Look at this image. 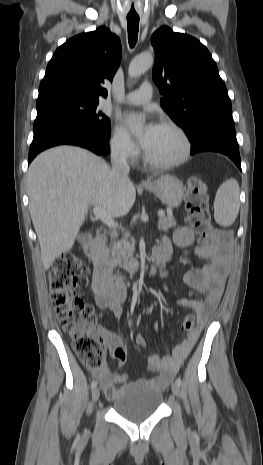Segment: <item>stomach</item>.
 Wrapping results in <instances>:
<instances>
[{"instance_id":"stomach-1","label":"stomach","mask_w":263,"mask_h":465,"mask_svg":"<svg viewBox=\"0 0 263 465\" xmlns=\"http://www.w3.org/2000/svg\"><path fill=\"white\" fill-rule=\"evenodd\" d=\"M145 188L169 207H178L183 198V183L173 175H162Z\"/></svg>"}]
</instances>
